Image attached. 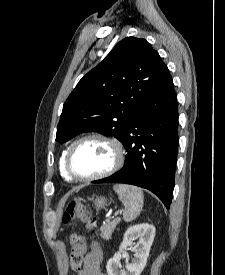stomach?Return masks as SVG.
Instances as JSON below:
<instances>
[{
	"label": "stomach",
	"mask_w": 225,
	"mask_h": 275,
	"mask_svg": "<svg viewBox=\"0 0 225 275\" xmlns=\"http://www.w3.org/2000/svg\"><path fill=\"white\" fill-rule=\"evenodd\" d=\"M93 203L96 209H99L107 205V200L104 197H97L96 199H93Z\"/></svg>",
	"instance_id": "stomach-1"
}]
</instances>
